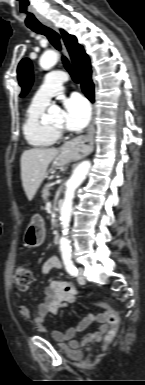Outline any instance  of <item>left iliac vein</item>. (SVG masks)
Listing matches in <instances>:
<instances>
[{
  "instance_id": "4c4485c4",
  "label": "left iliac vein",
  "mask_w": 145,
  "mask_h": 385,
  "mask_svg": "<svg viewBox=\"0 0 145 385\" xmlns=\"http://www.w3.org/2000/svg\"><path fill=\"white\" fill-rule=\"evenodd\" d=\"M77 280H78L79 283H84L85 282L84 269L81 268V267L78 268Z\"/></svg>"
}]
</instances>
